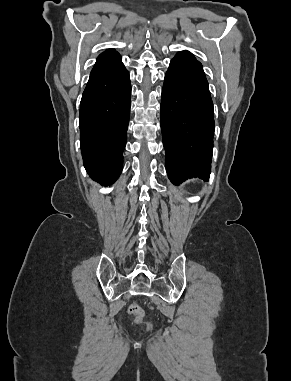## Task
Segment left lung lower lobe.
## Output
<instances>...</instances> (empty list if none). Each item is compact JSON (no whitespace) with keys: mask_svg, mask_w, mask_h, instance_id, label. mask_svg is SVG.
Wrapping results in <instances>:
<instances>
[{"mask_svg":"<svg viewBox=\"0 0 291 381\" xmlns=\"http://www.w3.org/2000/svg\"><path fill=\"white\" fill-rule=\"evenodd\" d=\"M161 129L170 181H208L215 130L213 102L202 64L189 51L171 60L161 99Z\"/></svg>","mask_w":291,"mask_h":381,"instance_id":"obj_1","label":"left lung lower lobe"}]
</instances>
